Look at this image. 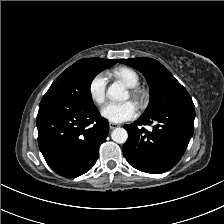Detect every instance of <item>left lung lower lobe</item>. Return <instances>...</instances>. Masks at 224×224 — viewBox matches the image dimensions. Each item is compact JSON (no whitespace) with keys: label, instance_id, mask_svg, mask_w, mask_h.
I'll use <instances>...</instances> for the list:
<instances>
[{"label":"left lung lower lobe","instance_id":"obj_1","mask_svg":"<svg viewBox=\"0 0 224 224\" xmlns=\"http://www.w3.org/2000/svg\"><path fill=\"white\" fill-rule=\"evenodd\" d=\"M194 118L192 100L168 106L152 116H141L134 124L124 126L128 131L124 157L143 172L159 174L170 170L188 146L194 131ZM153 123L151 132L137 127Z\"/></svg>","mask_w":224,"mask_h":224}]
</instances>
